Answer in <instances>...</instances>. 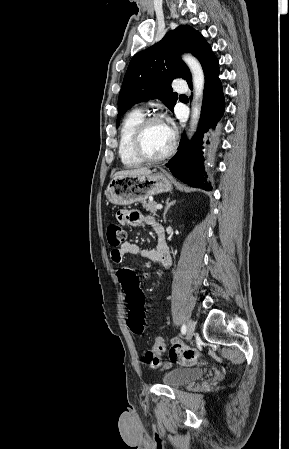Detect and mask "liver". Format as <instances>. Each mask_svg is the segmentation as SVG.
<instances>
[{"label":"liver","instance_id":"obj_1","mask_svg":"<svg viewBox=\"0 0 289 449\" xmlns=\"http://www.w3.org/2000/svg\"><path fill=\"white\" fill-rule=\"evenodd\" d=\"M152 171L146 167H140L131 170L119 171L115 176H138V175H149Z\"/></svg>","mask_w":289,"mask_h":449}]
</instances>
